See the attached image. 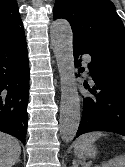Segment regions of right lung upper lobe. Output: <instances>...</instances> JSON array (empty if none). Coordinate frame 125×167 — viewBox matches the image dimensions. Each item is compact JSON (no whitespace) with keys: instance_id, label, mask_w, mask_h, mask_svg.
I'll use <instances>...</instances> for the list:
<instances>
[{"instance_id":"obj_1","label":"right lung upper lobe","mask_w":125,"mask_h":167,"mask_svg":"<svg viewBox=\"0 0 125 167\" xmlns=\"http://www.w3.org/2000/svg\"><path fill=\"white\" fill-rule=\"evenodd\" d=\"M24 33L16 0H0V40Z\"/></svg>"}]
</instances>
